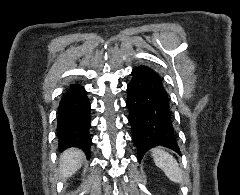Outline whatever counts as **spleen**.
<instances>
[{"label": "spleen", "mask_w": 240, "mask_h": 195, "mask_svg": "<svg viewBox=\"0 0 240 195\" xmlns=\"http://www.w3.org/2000/svg\"><path fill=\"white\" fill-rule=\"evenodd\" d=\"M152 155L156 165H158L160 169H163L171 181H176V183L182 181V171L171 153H168L165 149H161V147H154V149H152Z\"/></svg>", "instance_id": "spleen-1"}]
</instances>
